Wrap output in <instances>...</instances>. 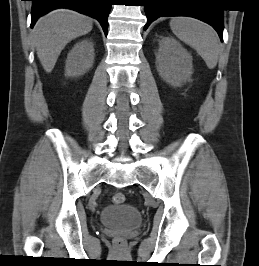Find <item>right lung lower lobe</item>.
<instances>
[{"mask_svg": "<svg viewBox=\"0 0 259 266\" xmlns=\"http://www.w3.org/2000/svg\"><path fill=\"white\" fill-rule=\"evenodd\" d=\"M32 1V20L31 27L37 19L57 8H68L76 10L97 19L105 35L108 32V15L112 6V0H31Z\"/></svg>", "mask_w": 259, "mask_h": 266, "instance_id": "98d812e1", "label": "right lung lower lobe"}]
</instances>
